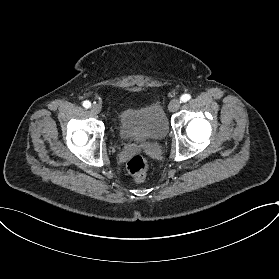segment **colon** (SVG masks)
I'll return each mask as SVG.
<instances>
[{
  "label": "colon",
  "mask_w": 279,
  "mask_h": 279,
  "mask_svg": "<svg viewBox=\"0 0 279 279\" xmlns=\"http://www.w3.org/2000/svg\"><path fill=\"white\" fill-rule=\"evenodd\" d=\"M149 169V161L143 155H135L126 165L127 172L139 181L144 180Z\"/></svg>",
  "instance_id": "1"
}]
</instances>
